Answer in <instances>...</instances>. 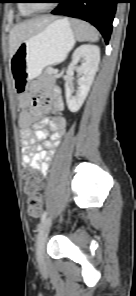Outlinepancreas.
<instances>
[{"instance_id":"1","label":"pancreas","mask_w":136,"mask_h":296,"mask_svg":"<svg viewBox=\"0 0 136 296\" xmlns=\"http://www.w3.org/2000/svg\"><path fill=\"white\" fill-rule=\"evenodd\" d=\"M53 69L51 68V67H48V68H46L45 69V71H44V75H46V76H48L49 78H51L52 77V73H53Z\"/></svg>"}]
</instances>
